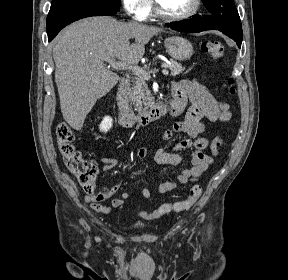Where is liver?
I'll return each instance as SVG.
<instances>
[{
  "mask_svg": "<svg viewBox=\"0 0 288 280\" xmlns=\"http://www.w3.org/2000/svg\"><path fill=\"white\" fill-rule=\"evenodd\" d=\"M161 31L159 27L124 23L108 16L86 18L65 29L53 49V58L61 112L73 129L83 127L96 101L119 80L105 67L104 58L136 65L144 55L145 44ZM131 38L135 43L130 44Z\"/></svg>",
  "mask_w": 288,
  "mask_h": 280,
  "instance_id": "1",
  "label": "liver"
}]
</instances>
